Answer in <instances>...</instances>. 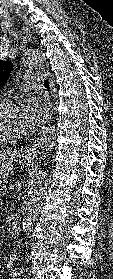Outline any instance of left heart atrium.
<instances>
[{
    "instance_id": "39dd6f15",
    "label": "left heart atrium",
    "mask_w": 113,
    "mask_h": 279,
    "mask_svg": "<svg viewBox=\"0 0 113 279\" xmlns=\"http://www.w3.org/2000/svg\"><path fill=\"white\" fill-rule=\"evenodd\" d=\"M47 111L45 103H41L34 98L27 99L21 107L22 120L26 131L35 130L42 123Z\"/></svg>"
}]
</instances>
